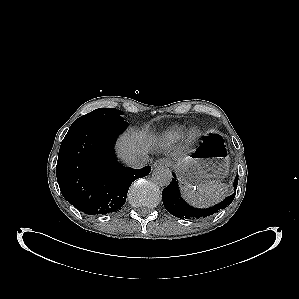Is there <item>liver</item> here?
I'll list each match as a JSON object with an SVG mask.
<instances>
[{"mask_svg":"<svg viewBox=\"0 0 299 299\" xmlns=\"http://www.w3.org/2000/svg\"><path fill=\"white\" fill-rule=\"evenodd\" d=\"M151 138L146 131L127 132L120 137L117 143L119 157L126 162L127 159L144 155L151 145ZM175 160L181 161V156L173 155Z\"/></svg>","mask_w":299,"mask_h":299,"instance_id":"1","label":"liver"}]
</instances>
